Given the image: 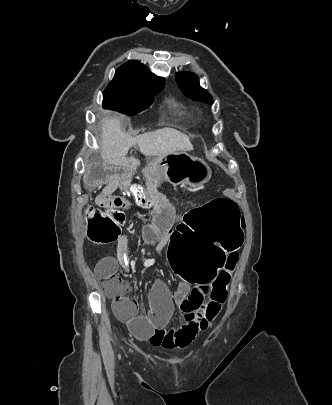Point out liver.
<instances>
[{
  "instance_id": "liver-1",
  "label": "liver",
  "mask_w": 332,
  "mask_h": 405,
  "mask_svg": "<svg viewBox=\"0 0 332 405\" xmlns=\"http://www.w3.org/2000/svg\"><path fill=\"white\" fill-rule=\"evenodd\" d=\"M101 129V157L107 164L126 162L129 149L136 144L146 157L193 150L190 138L174 128H163L132 137L121 128L119 117H105Z\"/></svg>"
}]
</instances>
